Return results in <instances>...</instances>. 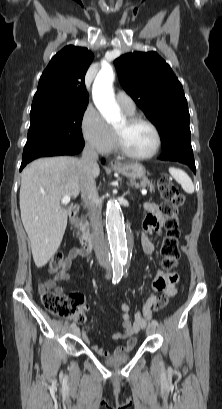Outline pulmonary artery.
<instances>
[{
    "label": "pulmonary artery",
    "mask_w": 222,
    "mask_h": 409,
    "mask_svg": "<svg viewBox=\"0 0 222 409\" xmlns=\"http://www.w3.org/2000/svg\"><path fill=\"white\" fill-rule=\"evenodd\" d=\"M116 101L118 105L125 111V112H134L135 111V103L133 99L123 91H118L115 95Z\"/></svg>",
    "instance_id": "obj_1"
}]
</instances>
